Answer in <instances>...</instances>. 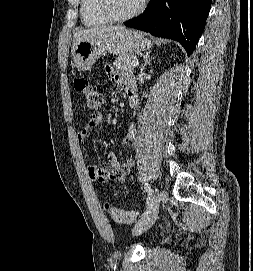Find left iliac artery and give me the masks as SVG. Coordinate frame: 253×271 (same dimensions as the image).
I'll return each mask as SVG.
<instances>
[{
  "label": "left iliac artery",
  "instance_id": "1",
  "mask_svg": "<svg viewBox=\"0 0 253 271\" xmlns=\"http://www.w3.org/2000/svg\"><path fill=\"white\" fill-rule=\"evenodd\" d=\"M144 185H145V191H146V193H147V210L143 213V216L145 215V214H147V212H148V208H149V206H150V204H151V201H152V189L148 186V184L147 183H144Z\"/></svg>",
  "mask_w": 253,
  "mask_h": 271
}]
</instances>
